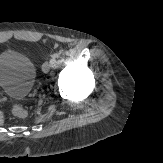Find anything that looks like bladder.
Wrapping results in <instances>:
<instances>
[{"mask_svg":"<svg viewBox=\"0 0 163 163\" xmlns=\"http://www.w3.org/2000/svg\"><path fill=\"white\" fill-rule=\"evenodd\" d=\"M36 77L35 64L15 50L0 53V90L13 98H24L32 90Z\"/></svg>","mask_w":163,"mask_h":163,"instance_id":"bladder-1","label":"bladder"}]
</instances>
